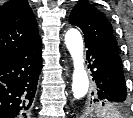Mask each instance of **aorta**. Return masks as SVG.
I'll return each instance as SVG.
<instances>
[{"label": "aorta", "mask_w": 133, "mask_h": 118, "mask_svg": "<svg viewBox=\"0 0 133 118\" xmlns=\"http://www.w3.org/2000/svg\"><path fill=\"white\" fill-rule=\"evenodd\" d=\"M65 44L73 60L72 92L76 99L83 98L89 88V78L84 67L83 39L81 33L74 28L65 34Z\"/></svg>", "instance_id": "aorta-1"}]
</instances>
